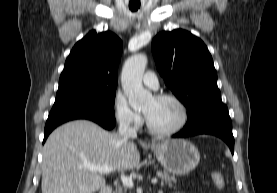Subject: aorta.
Here are the masks:
<instances>
[{
  "instance_id": "aorta-1",
  "label": "aorta",
  "mask_w": 277,
  "mask_h": 193,
  "mask_svg": "<svg viewBox=\"0 0 277 193\" xmlns=\"http://www.w3.org/2000/svg\"><path fill=\"white\" fill-rule=\"evenodd\" d=\"M147 65L145 54H135L128 58L122 68L121 84L129 104L139 107L152 98V94L142 85V77Z\"/></svg>"
}]
</instances>
